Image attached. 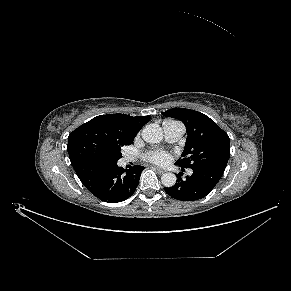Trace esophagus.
I'll use <instances>...</instances> for the list:
<instances>
[{
  "instance_id": "34e87169",
  "label": "esophagus",
  "mask_w": 291,
  "mask_h": 291,
  "mask_svg": "<svg viewBox=\"0 0 291 291\" xmlns=\"http://www.w3.org/2000/svg\"><path fill=\"white\" fill-rule=\"evenodd\" d=\"M153 169H154L157 173H159V174H163V173L165 172V170H164V169H161V168L153 167Z\"/></svg>"
}]
</instances>
